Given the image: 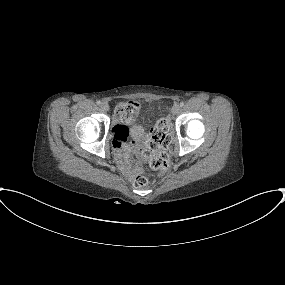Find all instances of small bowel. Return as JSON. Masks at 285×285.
<instances>
[{
  "mask_svg": "<svg viewBox=\"0 0 285 285\" xmlns=\"http://www.w3.org/2000/svg\"><path fill=\"white\" fill-rule=\"evenodd\" d=\"M131 119L122 117L117 125L112 130L114 155L119 160V165L126 178L132 180L136 175V171L132 168L128 160V154L132 148H139L141 144V136L134 138L129 143H122L120 139L127 136V124Z\"/></svg>",
  "mask_w": 285,
  "mask_h": 285,
  "instance_id": "1",
  "label": "small bowel"
}]
</instances>
